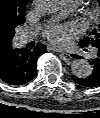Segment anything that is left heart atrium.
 I'll list each match as a JSON object with an SVG mask.
<instances>
[{
    "instance_id": "1",
    "label": "left heart atrium",
    "mask_w": 100,
    "mask_h": 118,
    "mask_svg": "<svg viewBox=\"0 0 100 118\" xmlns=\"http://www.w3.org/2000/svg\"><path fill=\"white\" fill-rule=\"evenodd\" d=\"M76 29L67 25H54L47 28L46 37L56 45H62L68 42L76 35Z\"/></svg>"
}]
</instances>
